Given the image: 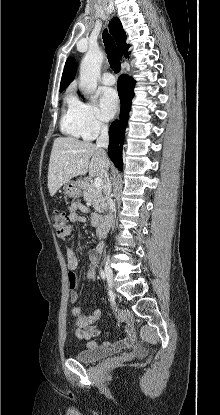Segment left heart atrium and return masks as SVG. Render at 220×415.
<instances>
[{
  "label": "left heart atrium",
  "mask_w": 220,
  "mask_h": 415,
  "mask_svg": "<svg viewBox=\"0 0 220 415\" xmlns=\"http://www.w3.org/2000/svg\"><path fill=\"white\" fill-rule=\"evenodd\" d=\"M119 101L117 93L112 88H101L99 90V116L110 120L118 109Z\"/></svg>",
  "instance_id": "1"
}]
</instances>
